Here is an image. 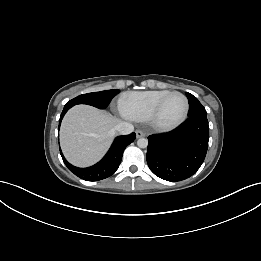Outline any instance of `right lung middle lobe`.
I'll list each match as a JSON object with an SVG mask.
<instances>
[{
    "label": "right lung middle lobe",
    "instance_id": "dd1d6c3e",
    "mask_svg": "<svg viewBox=\"0 0 261 261\" xmlns=\"http://www.w3.org/2000/svg\"><path fill=\"white\" fill-rule=\"evenodd\" d=\"M118 92V89H112L79 95L76 98L68 101L65 106L72 107L76 104H88L100 109H104L109 105L112 98L118 94Z\"/></svg>",
    "mask_w": 261,
    "mask_h": 261
}]
</instances>
